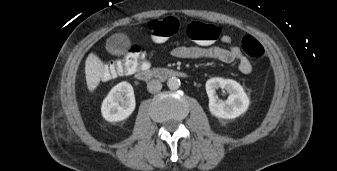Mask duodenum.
<instances>
[{"label":"duodenum","instance_id":"duodenum-1","mask_svg":"<svg viewBox=\"0 0 337 171\" xmlns=\"http://www.w3.org/2000/svg\"><path fill=\"white\" fill-rule=\"evenodd\" d=\"M184 73L171 68H150L143 67L135 73V77L141 81H148L151 79H158L165 81L173 77H183Z\"/></svg>","mask_w":337,"mask_h":171}]
</instances>
